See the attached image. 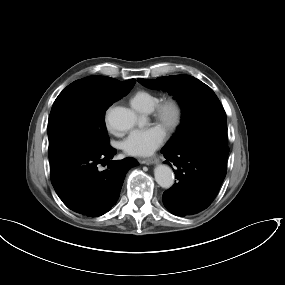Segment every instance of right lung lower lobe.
<instances>
[{
  "mask_svg": "<svg viewBox=\"0 0 285 285\" xmlns=\"http://www.w3.org/2000/svg\"><path fill=\"white\" fill-rule=\"evenodd\" d=\"M116 150L107 146L66 155L50 164L51 182L62 202L72 211L98 217L115 205L126 172L138 163L133 158L112 160ZM107 164L103 171L98 164Z\"/></svg>",
  "mask_w": 285,
  "mask_h": 285,
  "instance_id": "98d812e1",
  "label": "right lung lower lobe"
}]
</instances>
